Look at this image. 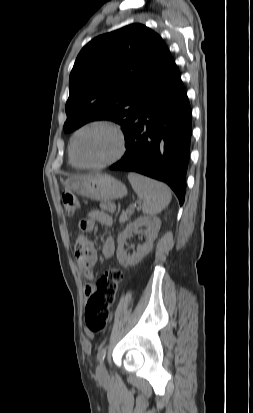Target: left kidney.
Masks as SVG:
<instances>
[{
    "mask_svg": "<svg viewBox=\"0 0 253 413\" xmlns=\"http://www.w3.org/2000/svg\"><path fill=\"white\" fill-rule=\"evenodd\" d=\"M142 226L146 227V242L137 248L136 253H133L132 255L127 254L124 249L127 238L133 231ZM160 227L161 220L157 217H140L128 224L125 230L120 233L117 238L118 247L116 254L119 263L124 266H132L139 263V261L152 250L154 240L157 238Z\"/></svg>",
    "mask_w": 253,
    "mask_h": 413,
    "instance_id": "5707ae66",
    "label": "left kidney"
}]
</instances>
